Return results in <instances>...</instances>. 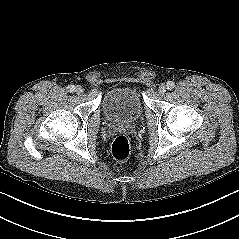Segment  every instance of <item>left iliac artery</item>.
<instances>
[{
    "label": "left iliac artery",
    "mask_w": 239,
    "mask_h": 239,
    "mask_svg": "<svg viewBox=\"0 0 239 239\" xmlns=\"http://www.w3.org/2000/svg\"><path fill=\"white\" fill-rule=\"evenodd\" d=\"M174 86H175L174 82H172V81L167 82V89H172V88H174Z\"/></svg>",
    "instance_id": "44dca946"
}]
</instances>
